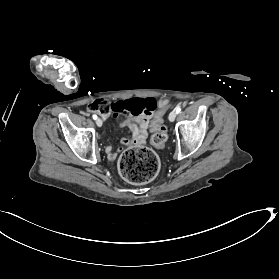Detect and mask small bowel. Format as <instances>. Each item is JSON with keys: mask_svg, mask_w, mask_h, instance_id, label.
<instances>
[{"mask_svg": "<svg viewBox=\"0 0 279 279\" xmlns=\"http://www.w3.org/2000/svg\"><path fill=\"white\" fill-rule=\"evenodd\" d=\"M152 113H146L138 116H129L120 122L121 127L129 128L131 137L123 138L120 141V146L114 152L111 146L106 148V153L110 160L116 159L118 153L122 151L123 146L138 145L145 142L147 137V130Z\"/></svg>", "mask_w": 279, "mask_h": 279, "instance_id": "small-bowel-1", "label": "small bowel"}]
</instances>
